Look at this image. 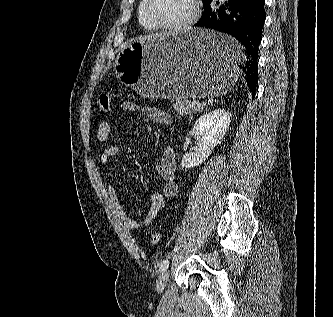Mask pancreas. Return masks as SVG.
Masks as SVG:
<instances>
[{
	"instance_id": "obj_1",
	"label": "pancreas",
	"mask_w": 333,
	"mask_h": 317,
	"mask_svg": "<svg viewBox=\"0 0 333 317\" xmlns=\"http://www.w3.org/2000/svg\"><path fill=\"white\" fill-rule=\"evenodd\" d=\"M173 104H172V107L173 109L178 112V113H181V114H194V113H197V112H200L204 109L205 107V104H195L193 105L191 101L189 100H179V99H176L175 101L172 100L171 101Z\"/></svg>"
}]
</instances>
